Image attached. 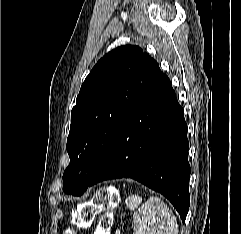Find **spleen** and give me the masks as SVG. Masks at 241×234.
<instances>
[{
	"label": "spleen",
	"instance_id": "spleen-1",
	"mask_svg": "<svg viewBox=\"0 0 241 234\" xmlns=\"http://www.w3.org/2000/svg\"><path fill=\"white\" fill-rule=\"evenodd\" d=\"M125 202L134 211L133 234L179 233L175 215L161 199L152 196L142 202V197L131 195Z\"/></svg>",
	"mask_w": 241,
	"mask_h": 234
}]
</instances>
